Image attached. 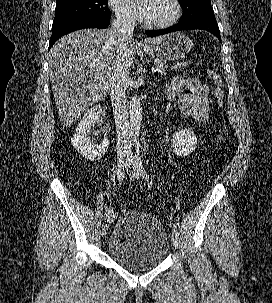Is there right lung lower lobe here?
I'll use <instances>...</instances> for the list:
<instances>
[{
	"mask_svg": "<svg viewBox=\"0 0 272 303\" xmlns=\"http://www.w3.org/2000/svg\"><path fill=\"white\" fill-rule=\"evenodd\" d=\"M108 25H109V19L89 17V18L73 19L52 26V35L49 42V49L60 37H62L65 34L84 28H107Z\"/></svg>",
	"mask_w": 272,
	"mask_h": 303,
	"instance_id": "98d812e1",
	"label": "right lung lower lobe"
}]
</instances>
